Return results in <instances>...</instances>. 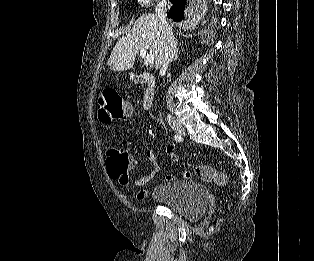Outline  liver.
Returning <instances> with one entry per match:
<instances>
[{
	"mask_svg": "<svg viewBox=\"0 0 314 261\" xmlns=\"http://www.w3.org/2000/svg\"><path fill=\"white\" fill-rule=\"evenodd\" d=\"M164 36L159 17L155 14H143L134 23L131 31L114 46L108 59L113 71L131 69L141 49L149 50L154 56L155 69L162 66Z\"/></svg>",
	"mask_w": 314,
	"mask_h": 261,
	"instance_id": "liver-1",
	"label": "liver"
}]
</instances>
